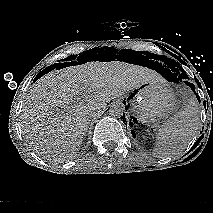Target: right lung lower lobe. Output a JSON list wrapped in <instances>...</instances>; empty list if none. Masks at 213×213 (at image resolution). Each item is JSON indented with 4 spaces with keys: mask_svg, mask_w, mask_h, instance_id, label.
<instances>
[{
    "mask_svg": "<svg viewBox=\"0 0 213 213\" xmlns=\"http://www.w3.org/2000/svg\"><path fill=\"white\" fill-rule=\"evenodd\" d=\"M71 63H73V62H71ZM71 63L68 64V62H65L64 64H62V63L53 64V65L47 67L46 69H44L42 72H40V73L37 75L36 78H39L41 75L48 73L49 71L53 70L54 68L58 69V68H60V67L69 66V65H71Z\"/></svg>",
    "mask_w": 213,
    "mask_h": 213,
    "instance_id": "right-lung-lower-lobe-1",
    "label": "right lung lower lobe"
}]
</instances>
